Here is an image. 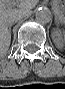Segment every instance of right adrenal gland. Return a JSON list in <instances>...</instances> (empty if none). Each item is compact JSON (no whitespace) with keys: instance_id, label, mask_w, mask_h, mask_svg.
Segmentation results:
<instances>
[{"instance_id":"obj_1","label":"right adrenal gland","mask_w":65,"mask_h":89,"mask_svg":"<svg viewBox=\"0 0 65 89\" xmlns=\"http://www.w3.org/2000/svg\"><path fill=\"white\" fill-rule=\"evenodd\" d=\"M9 31H11V26L9 27Z\"/></svg>"}]
</instances>
